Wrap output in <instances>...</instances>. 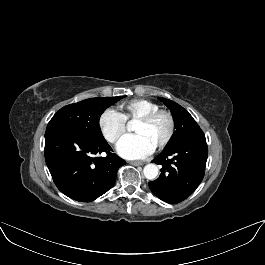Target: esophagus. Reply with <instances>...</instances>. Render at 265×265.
Wrapping results in <instances>:
<instances>
[{
  "label": "esophagus",
  "mask_w": 265,
  "mask_h": 265,
  "mask_svg": "<svg viewBox=\"0 0 265 265\" xmlns=\"http://www.w3.org/2000/svg\"><path fill=\"white\" fill-rule=\"evenodd\" d=\"M131 165H134V166H141L144 164L143 161H131L129 162Z\"/></svg>",
  "instance_id": "1"
}]
</instances>
